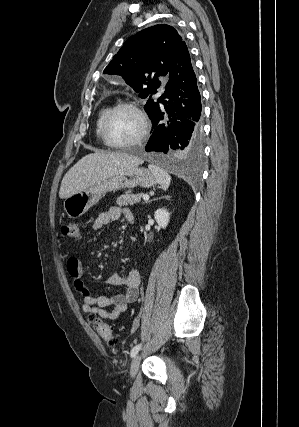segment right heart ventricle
<instances>
[{
	"label": "right heart ventricle",
	"mask_w": 299,
	"mask_h": 427,
	"mask_svg": "<svg viewBox=\"0 0 299 427\" xmlns=\"http://www.w3.org/2000/svg\"><path fill=\"white\" fill-rule=\"evenodd\" d=\"M110 108H111V106L108 104L103 106L99 110L96 121H95V137H96L97 142L101 145H103V141H102L101 134H100V127H101V123H102V120H103L105 114L107 113V111Z\"/></svg>",
	"instance_id": "e07e8e85"
}]
</instances>
